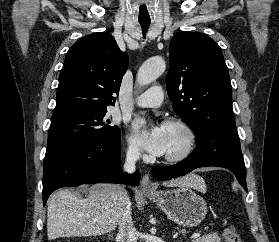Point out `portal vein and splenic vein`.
Segmentation results:
<instances>
[{
    "label": "portal vein and splenic vein",
    "mask_w": 279,
    "mask_h": 242,
    "mask_svg": "<svg viewBox=\"0 0 279 242\" xmlns=\"http://www.w3.org/2000/svg\"><path fill=\"white\" fill-rule=\"evenodd\" d=\"M200 235H201V233H200V232H197V233H194V234L191 236V238H192V239H196V238L200 237Z\"/></svg>",
    "instance_id": "portal-vein-and-splenic-vein-1"
}]
</instances>
